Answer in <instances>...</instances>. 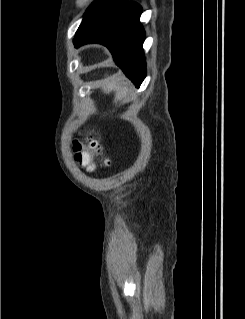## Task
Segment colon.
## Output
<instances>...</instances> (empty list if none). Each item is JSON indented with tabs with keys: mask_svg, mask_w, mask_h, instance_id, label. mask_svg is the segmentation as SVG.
Returning a JSON list of instances; mask_svg holds the SVG:
<instances>
[{
	"mask_svg": "<svg viewBox=\"0 0 245 319\" xmlns=\"http://www.w3.org/2000/svg\"><path fill=\"white\" fill-rule=\"evenodd\" d=\"M73 149L76 161L88 170L94 169V158L102 154L99 144L94 139L75 140Z\"/></svg>",
	"mask_w": 245,
	"mask_h": 319,
	"instance_id": "1",
	"label": "colon"
}]
</instances>
